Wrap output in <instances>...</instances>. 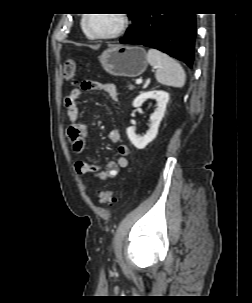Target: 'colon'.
I'll return each instance as SVG.
<instances>
[{"label": "colon", "mask_w": 252, "mask_h": 303, "mask_svg": "<svg viewBox=\"0 0 252 303\" xmlns=\"http://www.w3.org/2000/svg\"><path fill=\"white\" fill-rule=\"evenodd\" d=\"M77 64L74 60H67L64 64V78L68 82H73ZM100 202L105 206H111L116 201V196L111 190L103 189L99 191Z\"/></svg>", "instance_id": "1"}]
</instances>
